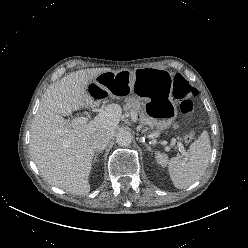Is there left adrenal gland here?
<instances>
[{
    "label": "left adrenal gland",
    "instance_id": "a2214340",
    "mask_svg": "<svg viewBox=\"0 0 248 248\" xmlns=\"http://www.w3.org/2000/svg\"><path fill=\"white\" fill-rule=\"evenodd\" d=\"M145 146H146V148H147V150H148L149 152H152V150H151V147H150V146H148L147 144H145Z\"/></svg>",
    "mask_w": 248,
    "mask_h": 248
}]
</instances>
